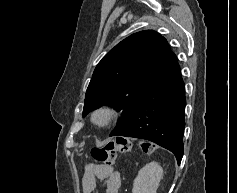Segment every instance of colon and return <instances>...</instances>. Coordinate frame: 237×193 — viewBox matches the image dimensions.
<instances>
[{
	"mask_svg": "<svg viewBox=\"0 0 237 193\" xmlns=\"http://www.w3.org/2000/svg\"><path fill=\"white\" fill-rule=\"evenodd\" d=\"M138 146L145 152L151 151V146L145 142H139ZM132 149V142L125 137H117L101 147H95L91 151L92 157L104 166H112L118 153H127Z\"/></svg>",
	"mask_w": 237,
	"mask_h": 193,
	"instance_id": "1",
	"label": "colon"
}]
</instances>
